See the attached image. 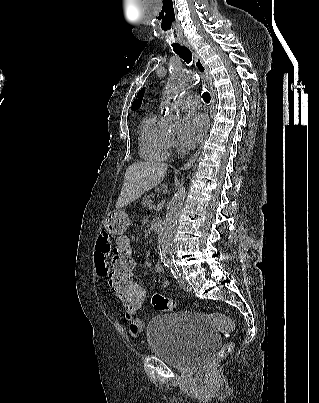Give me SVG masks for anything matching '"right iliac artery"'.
<instances>
[{"mask_svg":"<svg viewBox=\"0 0 319 403\" xmlns=\"http://www.w3.org/2000/svg\"><path fill=\"white\" fill-rule=\"evenodd\" d=\"M169 264H170V263L166 264V266L169 267Z\"/></svg>","mask_w":319,"mask_h":403,"instance_id":"right-iliac-artery-1","label":"right iliac artery"}]
</instances>
